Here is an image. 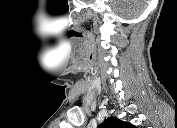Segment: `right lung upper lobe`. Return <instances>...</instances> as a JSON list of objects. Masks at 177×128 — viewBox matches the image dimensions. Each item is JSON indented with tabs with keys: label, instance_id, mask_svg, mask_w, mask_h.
Segmentation results:
<instances>
[{
	"label": "right lung upper lobe",
	"instance_id": "1",
	"mask_svg": "<svg viewBox=\"0 0 177 128\" xmlns=\"http://www.w3.org/2000/svg\"><path fill=\"white\" fill-rule=\"evenodd\" d=\"M101 128H133L134 125L119 120L116 117H108L101 125Z\"/></svg>",
	"mask_w": 177,
	"mask_h": 128
}]
</instances>
